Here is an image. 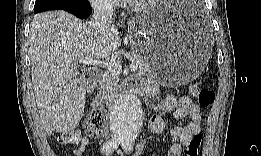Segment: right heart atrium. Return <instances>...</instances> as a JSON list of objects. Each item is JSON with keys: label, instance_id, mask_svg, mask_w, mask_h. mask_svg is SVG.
<instances>
[{"label": "right heart atrium", "instance_id": "obj_1", "mask_svg": "<svg viewBox=\"0 0 261 156\" xmlns=\"http://www.w3.org/2000/svg\"><path fill=\"white\" fill-rule=\"evenodd\" d=\"M98 5H100V6H104V7H106V8H109V7H111L112 6V2H104V3H99Z\"/></svg>", "mask_w": 261, "mask_h": 156}]
</instances>
